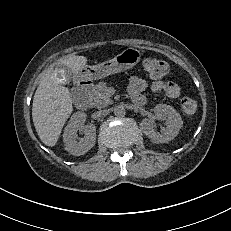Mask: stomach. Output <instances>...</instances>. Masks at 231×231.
Here are the masks:
<instances>
[{
	"mask_svg": "<svg viewBox=\"0 0 231 231\" xmlns=\"http://www.w3.org/2000/svg\"><path fill=\"white\" fill-rule=\"evenodd\" d=\"M141 51L127 48L113 59L93 66H85L78 71L80 79L97 80L108 75L131 69L141 60Z\"/></svg>",
	"mask_w": 231,
	"mask_h": 231,
	"instance_id": "1",
	"label": "stomach"
}]
</instances>
